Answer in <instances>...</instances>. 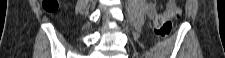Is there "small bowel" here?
I'll list each match as a JSON object with an SVG mask.
<instances>
[{"instance_id":"c3829d8e","label":"small bowel","mask_w":225,"mask_h":58,"mask_svg":"<svg viewBox=\"0 0 225 58\" xmlns=\"http://www.w3.org/2000/svg\"><path fill=\"white\" fill-rule=\"evenodd\" d=\"M151 13H154V11H153V10H151Z\"/></svg>"}]
</instances>
